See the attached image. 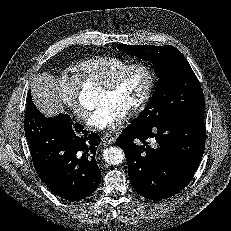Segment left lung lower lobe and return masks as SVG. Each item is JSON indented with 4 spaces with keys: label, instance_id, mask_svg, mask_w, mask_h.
<instances>
[{
    "label": "left lung lower lobe",
    "instance_id": "obj_1",
    "mask_svg": "<svg viewBox=\"0 0 231 231\" xmlns=\"http://www.w3.org/2000/svg\"><path fill=\"white\" fill-rule=\"evenodd\" d=\"M116 143L126 153L133 188L150 200L169 198L194 176L205 147L204 114L162 125H129ZM153 138L151 148L146 139ZM139 139L144 145H136Z\"/></svg>",
    "mask_w": 231,
    "mask_h": 231
}]
</instances>
